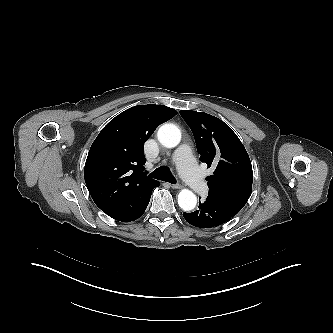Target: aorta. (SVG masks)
I'll use <instances>...</instances> for the list:
<instances>
[{"instance_id": "aorta-1", "label": "aorta", "mask_w": 333, "mask_h": 333, "mask_svg": "<svg viewBox=\"0 0 333 333\" xmlns=\"http://www.w3.org/2000/svg\"><path fill=\"white\" fill-rule=\"evenodd\" d=\"M159 142L167 147H176L181 141V131L180 129L171 123L162 125L157 133ZM197 203V198L195 194L188 190L182 189L178 194V205L184 211H190L195 208Z\"/></svg>"}]
</instances>
